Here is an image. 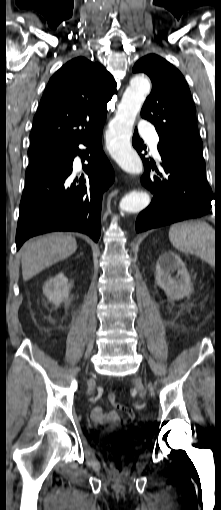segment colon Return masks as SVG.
<instances>
[{
	"label": "colon",
	"instance_id": "5ec220e1",
	"mask_svg": "<svg viewBox=\"0 0 221 510\" xmlns=\"http://www.w3.org/2000/svg\"><path fill=\"white\" fill-rule=\"evenodd\" d=\"M108 399L111 403H113L117 408L119 407V403L116 402V396L114 393H110L108 395ZM134 414L129 411L124 420L125 423H129L133 421ZM125 450V442L121 437H117L113 440L110 446V454L112 461V468L116 473H121L123 469L122 456Z\"/></svg>",
	"mask_w": 221,
	"mask_h": 510
}]
</instances>
